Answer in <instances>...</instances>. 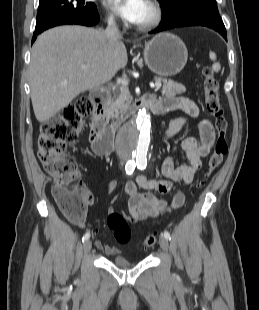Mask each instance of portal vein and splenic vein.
<instances>
[{
    "mask_svg": "<svg viewBox=\"0 0 259 310\" xmlns=\"http://www.w3.org/2000/svg\"><path fill=\"white\" fill-rule=\"evenodd\" d=\"M82 68L86 69L87 66L83 65ZM117 82L120 83L123 86H127L128 85V80L126 78H118ZM153 86L156 87V88H161L162 83L161 82H155V84H153Z\"/></svg>",
    "mask_w": 259,
    "mask_h": 310,
    "instance_id": "1",
    "label": "portal vein and splenic vein"
}]
</instances>
